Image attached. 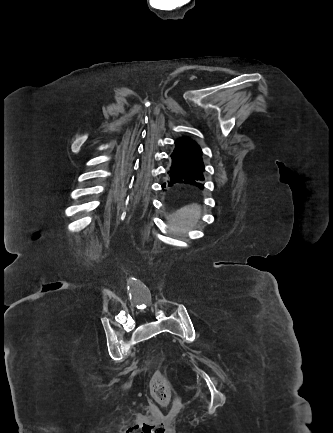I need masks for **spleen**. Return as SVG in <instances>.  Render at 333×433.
<instances>
[{
    "label": "spleen",
    "instance_id": "3e777b00",
    "mask_svg": "<svg viewBox=\"0 0 333 433\" xmlns=\"http://www.w3.org/2000/svg\"><path fill=\"white\" fill-rule=\"evenodd\" d=\"M201 215L200 207L197 205L173 209L167 213V218H172L169 224L177 231L188 230L196 226Z\"/></svg>",
    "mask_w": 333,
    "mask_h": 433
}]
</instances>
